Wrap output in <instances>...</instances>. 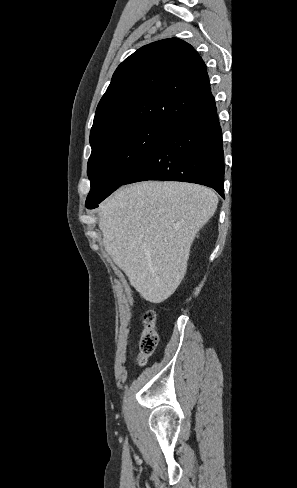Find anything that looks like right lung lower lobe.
I'll use <instances>...</instances> for the list:
<instances>
[{"mask_svg":"<svg viewBox=\"0 0 297 488\" xmlns=\"http://www.w3.org/2000/svg\"><path fill=\"white\" fill-rule=\"evenodd\" d=\"M144 180L203 184L224 197L222 131L215 101L171 126L123 184Z\"/></svg>","mask_w":297,"mask_h":488,"instance_id":"1","label":"right lung lower lobe"}]
</instances>
